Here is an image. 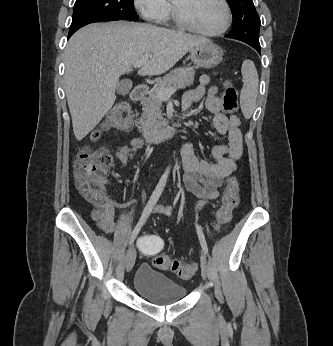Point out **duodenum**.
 <instances>
[{"mask_svg": "<svg viewBox=\"0 0 333 346\" xmlns=\"http://www.w3.org/2000/svg\"><path fill=\"white\" fill-rule=\"evenodd\" d=\"M147 88L143 85H137L132 93L131 99L135 102L143 100L146 96ZM179 127V122L164 126L158 129L143 128L142 136L149 143H160L173 138Z\"/></svg>", "mask_w": 333, "mask_h": 346, "instance_id": "duodenum-1", "label": "duodenum"}]
</instances>
